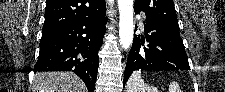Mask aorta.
Listing matches in <instances>:
<instances>
[{"instance_id":"1","label":"aorta","mask_w":225,"mask_h":92,"mask_svg":"<svg viewBox=\"0 0 225 92\" xmlns=\"http://www.w3.org/2000/svg\"><path fill=\"white\" fill-rule=\"evenodd\" d=\"M119 8V37L124 49H128L133 42V0H118Z\"/></svg>"}]
</instances>
